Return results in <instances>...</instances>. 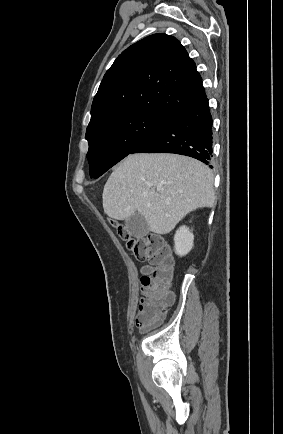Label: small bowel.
<instances>
[{"label": "small bowel", "mask_w": 283, "mask_h": 434, "mask_svg": "<svg viewBox=\"0 0 283 434\" xmlns=\"http://www.w3.org/2000/svg\"><path fill=\"white\" fill-rule=\"evenodd\" d=\"M151 267L150 266H144L141 268V272L143 275H147L150 271H151Z\"/></svg>", "instance_id": "c3829d8e"}]
</instances>
